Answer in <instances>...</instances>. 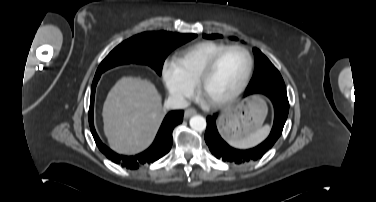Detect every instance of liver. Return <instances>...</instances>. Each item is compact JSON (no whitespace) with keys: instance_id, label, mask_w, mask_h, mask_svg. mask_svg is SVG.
Listing matches in <instances>:
<instances>
[{"instance_id":"6515ba94","label":"liver","mask_w":376,"mask_h":202,"mask_svg":"<svg viewBox=\"0 0 376 202\" xmlns=\"http://www.w3.org/2000/svg\"><path fill=\"white\" fill-rule=\"evenodd\" d=\"M102 114L109 146L136 154L151 144L160 127L161 97L150 81L123 77L109 91Z\"/></svg>"}]
</instances>
